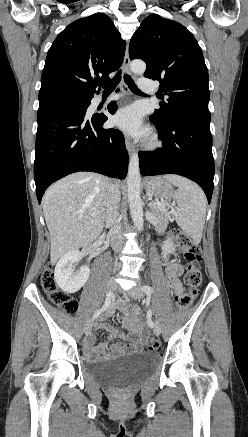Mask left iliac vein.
I'll return each mask as SVG.
<instances>
[{
  "mask_svg": "<svg viewBox=\"0 0 248 437\" xmlns=\"http://www.w3.org/2000/svg\"><path fill=\"white\" fill-rule=\"evenodd\" d=\"M129 295H130L132 298H134V299H140V298H142V297L144 296V292H143V290L141 289L140 286H135V287H133V288L129 291ZM153 332H154V334L157 335V336L160 335V333H161V326H160V324H159L158 322H156V323L154 324Z\"/></svg>",
  "mask_w": 248,
  "mask_h": 437,
  "instance_id": "left-iliac-vein-1",
  "label": "left iliac vein"
}]
</instances>
